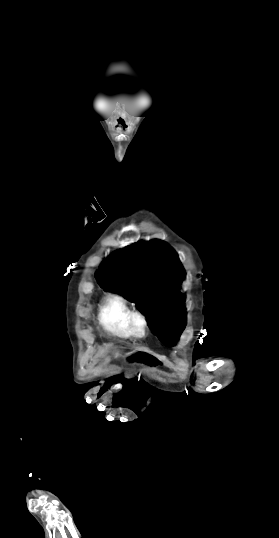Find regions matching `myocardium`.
Instances as JSON below:
<instances>
[{"instance_id": "1", "label": "myocardium", "mask_w": 279, "mask_h": 538, "mask_svg": "<svg viewBox=\"0 0 279 538\" xmlns=\"http://www.w3.org/2000/svg\"><path fill=\"white\" fill-rule=\"evenodd\" d=\"M129 330L133 337L144 338L148 333V321L140 312H132L129 317Z\"/></svg>"}]
</instances>
